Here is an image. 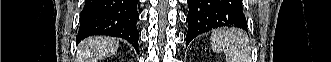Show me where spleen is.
Segmentation results:
<instances>
[{"instance_id": "obj_1", "label": "spleen", "mask_w": 331, "mask_h": 62, "mask_svg": "<svg viewBox=\"0 0 331 62\" xmlns=\"http://www.w3.org/2000/svg\"><path fill=\"white\" fill-rule=\"evenodd\" d=\"M214 52H224L227 62H250L251 47L246 34L241 30H216L211 35Z\"/></svg>"}]
</instances>
